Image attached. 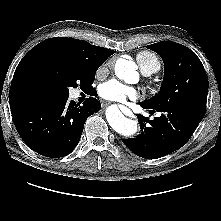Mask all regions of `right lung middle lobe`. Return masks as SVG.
<instances>
[{
	"instance_id": "right-lung-middle-lobe-1",
	"label": "right lung middle lobe",
	"mask_w": 221,
	"mask_h": 221,
	"mask_svg": "<svg viewBox=\"0 0 221 221\" xmlns=\"http://www.w3.org/2000/svg\"><path fill=\"white\" fill-rule=\"evenodd\" d=\"M97 68H91L73 58L58 55L31 62L25 70L28 86L40 94L69 96V87L90 88Z\"/></svg>"
}]
</instances>
